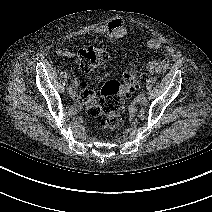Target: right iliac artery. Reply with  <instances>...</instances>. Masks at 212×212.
<instances>
[{"label": "right iliac artery", "instance_id": "82829eb1", "mask_svg": "<svg viewBox=\"0 0 212 212\" xmlns=\"http://www.w3.org/2000/svg\"><path fill=\"white\" fill-rule=\"evenodd\" d=\"M72 86L70 85V86H68V88H67V90H68V93H70L71 91H72Z\"/></svg>", "mask_w": 212, "mask_h": 212}]
</instances>
